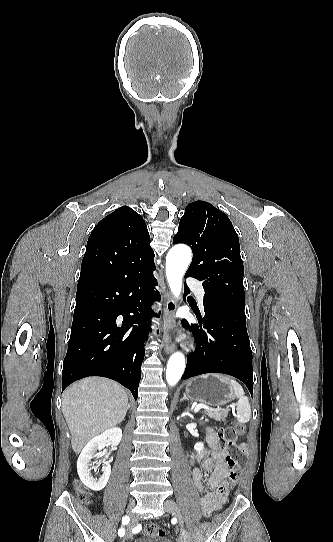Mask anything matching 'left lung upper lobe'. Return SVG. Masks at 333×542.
<instances>
[{"label":"left lung upper lobe","mask_w":333,"mask_h":542,"mask_svg":"<svg viewBox=\"0 0 333 542\" xmlns=\"http://www.w3.org/2000/svg\"><path fill=\"white\" fill-rule=\"evenodd\" d=\"M173 243H185L193 252L185 277L203 281L204 310L215 298L245 304L239 238L229 218L208 202L188 204Z\"/></svg>","instance_id":"left-lung-upper-lobe-1"}]
</instances>
